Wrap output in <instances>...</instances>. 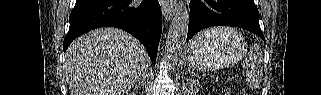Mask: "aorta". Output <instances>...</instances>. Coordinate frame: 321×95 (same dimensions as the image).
Returning a JSON list of instances; mask_svg holds the SVG:
<instances>
[{
  "instance_id": "762f6f07",
  "label": "aorta",
  "mask_w": 321,
  "mask_h": 95,
  "mask_svg": "<svg viewBox=\"0 0 321 95\" xmlns=\"http://www.w3.org/2000/svg\"><path fill=\"white\" fill-rule=\"evenodd\" d=\"M189 26V10L181 1L174 10L167 36L165 58L168 64L176 65L186 42Z\"/></svg>"
}]
</instances>
